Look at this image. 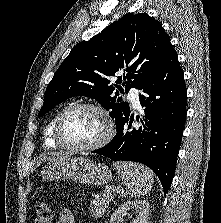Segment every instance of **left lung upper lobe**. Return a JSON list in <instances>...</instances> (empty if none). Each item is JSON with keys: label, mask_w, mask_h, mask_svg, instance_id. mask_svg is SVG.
<instances>
[{"label": "left lung upper lobe", "mask_w": 221, "mask_h": 223, "mask_svg": "<svg viewBox=\"0 0 221 223\" xmlns=\"http://www.w3.org/2000/svg\"><path fill=\"white\" fill-rule=\"evenodd\" d=\"M170 44L159 21L145 13L124 15L71 50L49 83L38 116L70 97L83 95L111 110L109 114L118 126L130 111L119 91L128 93L148 82L163 63ZM116 73L121 76L114 81Z\"/></svg>", "instance_id": "left-lung-upper-lobe-1"}]
</instances>
